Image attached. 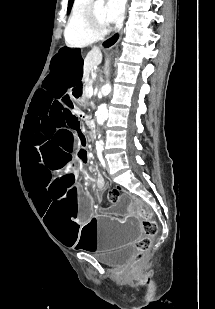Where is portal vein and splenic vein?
I'll return each mask as SVG.
<instances>
[{
  "label": "portal vein and splenic vein",
  "instance_id": "obj_1",
  "mask_svg": "<svg viewBox=\"0 0 215 309\" xmlns=\"http://www.w3.org/2000/svg\"><path fill=\"white\" fill-rule=\"evenodd\" d=\"M86 92H88L89 96H92V94L94 92L92 86H90V88H88V90H86Z\"/></svg>",
  "mask_w": 215,
  "mask_h": 309
}]
</instances>
